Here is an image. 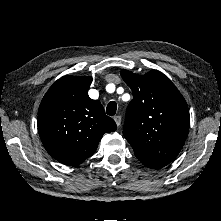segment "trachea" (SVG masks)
<instances>
[{
  "label": "trachea",
  "mask_w": 221,
  "mask_h": 221,
  "mask_svg": "<svg viewBox=\"0 0 221 221\" xmlns=\"http://www.w3.org/2000/svg\"><path fill=\"white\" fill-rule=\"evenodd\" d=\"M116 110H117L116 102L115 101L109 102V104L107 105V108H106V113L110 116H113L116 114Z\"/></svg>",
  "instance_id": "3493384b"
}]
</instances>
